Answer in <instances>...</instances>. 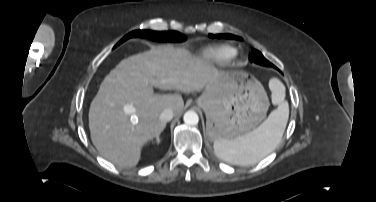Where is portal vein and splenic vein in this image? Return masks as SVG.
<instances>
[{"label":"portal vein and splenic vein","mask_w":376,"mask_h":202,"mask_svg":"<svg viewBox=\"0 0 376 202\" xmlns=\"http://www.w3.org/2000/svg\"><path fill=\"white\" fill-rule=\"evenodd\" d=\"M126 109H127L128 111H134V108H133L132 106H128V107H126Z\"/></svg>","instance_id":"1"}]
</instances>
